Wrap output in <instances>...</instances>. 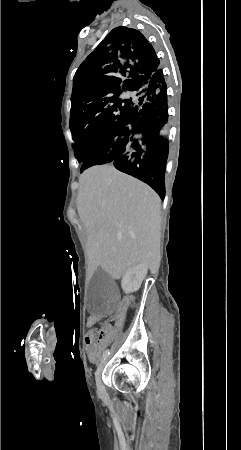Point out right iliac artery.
Listing matches in <instances>:
<instances>
[{"label": "right iliac artery", "mask_w": 241, "mask_h": 450, "mask_svg": "<svg viewBox=\"0 0 241 450\" xmlns=\"http://www.w3.org/2000/svg\"><path fill=\"white\" fill-rule=\"evenodd\" d=\"M108 356H109V350H106V351L103 353L102 358H103V359H106Z\"/></svg>", "instance_id": "right-iliac-artery-1"}]
</instances>
